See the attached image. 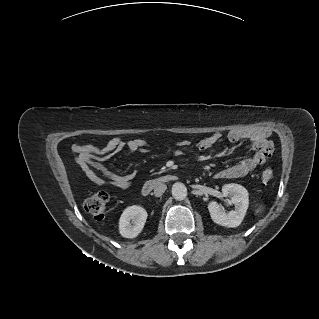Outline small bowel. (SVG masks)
Listing matches in <instances>:
<instances>
[{
  "instance_id": "1",
  "label": "small bowel",
  "mask_w": 319,
  "mask_h": 319,
  "mask_svg": "<svg viewBox=\"0 0 319 319\" xmlns=\"http://www.w3.org/2000/svg\"><path fill=\"white\" fill-rule=\"evenodd\" d=\"M268 137L269 132L267 131L259 134H250L240 130L229 131L227 138L230 142L236 143L242 140H249L252 143L253 153L238 163L219 170L215 177L218 179L242 177L253 171L257 166L265 163L267 157L261 152L260 147L265 140H268ZM220 138V133H213L200 140L195 149L198 152H206L213 148ZM189 144L188 140L179 141L173 148L174 155H183ZM149 148L150 143L142 139L124 141L119 137H115L101 146L75 144L73 152L79 167L90 181L97 185L110 184L125 189L130 186L134 175L132 173L122 175L113 173L102 162L124 149L130 152H147Z\"/></svg>"
}]
</instances>
